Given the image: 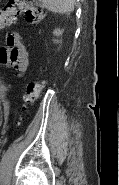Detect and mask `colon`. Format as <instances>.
Masks as SVG:
<instances>
[{"label":"colon","mask_w":119,"mask_h":185,"mask_svg":"<svg viewBox=\"0 0 119 185\" xmlns=\"http://www.w3.org/2000/svg\"><path fill=\"white\" fill-rule=\"evenodd\" d=\"M26 16L29 21H35L41 18L42 12L34 7L26 5L24 0H8L2 13V27L8 25L17 19L21 14ZM41 91V85L38 83H30L28 85V94L26 97V104L32 105L38 98Z\"/></svg>","instance_id":"1"}]
</instances>
